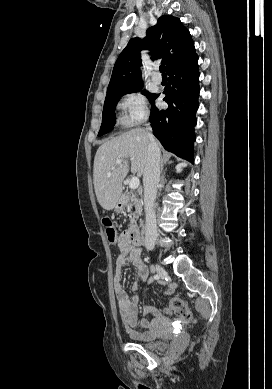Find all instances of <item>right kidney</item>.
I'll list each match as a JSON object with an SVG mask.
<instances>
[{"label":"right kidney","instance_id":"ca27d5eb","mask_svg":"<svg viewBox=\"0 0 272 389\" xmlns=\"http://www.w3.org/2000/svg\"><path fill=\"white\" fill-rule=\"evenodd\" d=\"M184 167H186V164H183V163L178 164V165L176 166V171H177V173L181 172L182 169H183Z\"/></svg>","mask_w":272,"mask_h":389}]
</instances>
